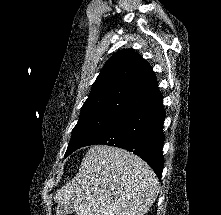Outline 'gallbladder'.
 Here are the masks:
<instances>
[{
  "instance_id": "1",
  "label": "gallbladder",
  "mask_w": 221,
  "mask_h": 215,
  "mask_svg": "<svg viewBox=\"0 0 221 215\" xmlns=\"http://www.w3.org/2000/svg\"><path fill=\"white\" fill-rule=\"evenodd\" d=\"M74 208L71 203H63L57 206V215H71Z\"/></svg>"
}]
</instances>
